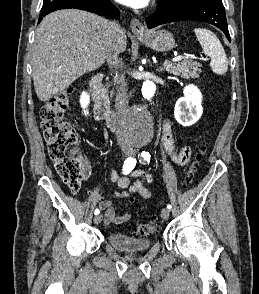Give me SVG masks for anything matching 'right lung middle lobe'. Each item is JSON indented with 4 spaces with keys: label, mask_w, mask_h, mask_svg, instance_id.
<instances>
[{
    "label": "right lung middle lobe",
    "mask_w": 259,
    "mask_h": 294,
    "mask_svg": "<svg viewBox=\"0 0 259 294\" xmlns=\"http://www.w3.org/2000/svg\"><path fill=\"white\" fill-rule=\"evenodd\" d=\"M56 1H58V0H44L42 9L52 5Z\"/></svg>",
    "instance_id": "1"
}]
</instances>
